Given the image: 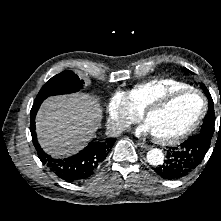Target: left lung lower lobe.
<instances>
[{
	"instance_id": "1",
	"label": "left lung lower lobe",
	"mask_w": 221,
	"mask_h": 221,
	"mask_svg": "<svg viewBox=\"0 0 221 221\" xmlns=\"http://www.w3.org/2000/svg\"><path fill=\"white\" fill-rule=\"evenodd\" d=\"M209 146L205 137L192 136L180 146L168 150L164 163L154 170L168 180L185 177L202 162Z\"/></svg>"
}]
</instances>
